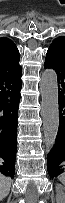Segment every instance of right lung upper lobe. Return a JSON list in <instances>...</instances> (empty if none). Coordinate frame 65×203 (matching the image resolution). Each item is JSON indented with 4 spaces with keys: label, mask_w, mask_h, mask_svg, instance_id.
<instances>
[{
    "label": "right lung upper lobe",
    "mask_w": 65,
    "mask_h": 203,
    "mask_svg": "<svg viewBox=\"0 0 65 203\" xmlns=\"http://www.w3.org/2000/svg\"><path fill=\"white\" fill-rule=\"evenodd\" d=\"M20 70L16 45L8 38H0V74H11Z\"/></svg>",
    "instance_id": "obj_1"
}]
</instances>
